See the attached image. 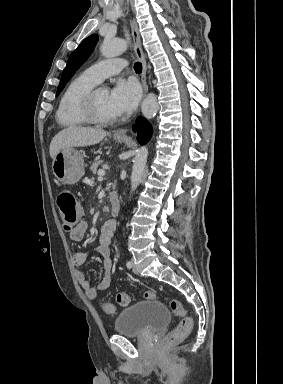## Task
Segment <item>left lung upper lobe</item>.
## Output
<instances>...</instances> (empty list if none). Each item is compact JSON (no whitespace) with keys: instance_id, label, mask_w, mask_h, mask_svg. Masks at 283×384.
<instances>
[{"instance_id":"5c2ea615","label":"left lung upper lobe","mask_w":283,"mask_h":384,"mask_svg":"<svg viewBox=\"0 0 283 384\" xmlns=\"http://www.w3.org/2000/svg\"><path fill=\"white\" fill-rule=\"evenodd\" d=\"M98 41V35H90L84 39L80 45L73 51L68 59L67 65L63 70L61 81L59 83L56 96L62 91L66 83L73 76L75 71L87 60L92 53L94 46Z\"/></svg>"}]
</instances>
